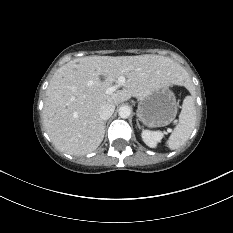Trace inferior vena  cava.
<instances>
[{
  "label": "inferior vena cava",
  "instance_id": "1",
  "mask_svg": "<svg viewBox=\"0 0 233 233\" xmlns=\"http://www.w3.org/2000/svg\"><path fill=\"white\" fill-rule=\"evenodd\" d=\"M114 110H115V105L104 104L100 107L99 116L102 120H107L112 116Z\"/></svg>",
  "mask_w": 233,
  "mask_h": 233
}]
</instances>
